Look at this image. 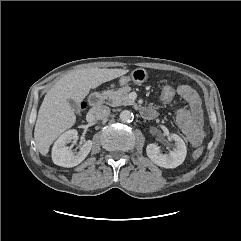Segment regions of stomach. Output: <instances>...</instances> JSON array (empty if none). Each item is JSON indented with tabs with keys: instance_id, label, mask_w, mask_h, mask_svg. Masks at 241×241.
<instances>
[{
	"instance_id": "0dacf381",
	"label": "stomach",
	"mask_w": 241,
	"mask_h": 241,
	"mask_svg": "<svg viewBox=\"0 0 241 241\" xmlns=\"http://www.w3.org/2000/svg\"><path fill=\"white\" fill-rule=\"evenodd\" d=\"M148 78V73L144 68L134 69L129 76H121L119 84L121 86L127 85L129 82H134L137 85L144 83Z\"/></svg>"
}]
</instances>
